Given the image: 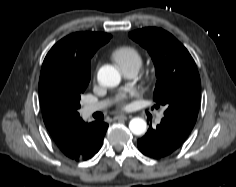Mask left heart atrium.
I'll list each match as a JSON object with an SVG mask.
<instances>
[{
  "instance_id": "left-heart-atrium-1",
  "label": "left heart atrium",
  "mask_w": 236,
  "mask_h": 187,
  "mask_svg": "<svg viewBox=\"0 0 236 187\" xmlns=\"http://www.w3.org/2000/svg\"><path fill=\"white\" fill-rule=\"evenodd\" d=\"M128 95L127 94H122L118 97V104L120 106H124L125 100L127 99Z\"/></svg>"
}]
</instances>
